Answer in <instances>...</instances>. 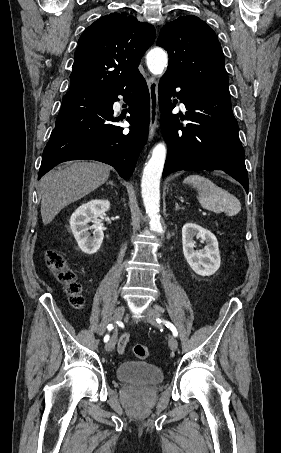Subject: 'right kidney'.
Masks as SVG:
<instances>
[{
  "mask_svg": "<svg viewBox=\"0 0 281 453\" xmlns=\"http://www.w3.org/2000/svg\"><path fill=\"white\" fill-rule=\"evenodd\" d=\"M109 208V200H97L95 198V200H89V202H84V204L78 206L70 216V229L79 249L86 255H94L102 245L104 233L101 227H103V222L98 216H103ZM88 222H94L92 227H89ZM90 229H94L93 237H90Z\"/></svg>",
  "mask_w": 281,
  "mask_h": 453,
  "instance_id": "right-kidney-1",
  "label": "right kidney"
}]
</instances>
